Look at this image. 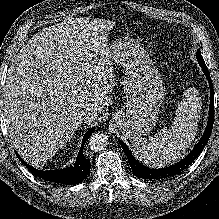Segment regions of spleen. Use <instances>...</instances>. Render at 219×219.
<instances>
[{
	"instance_id": "1",
	"label": "spleen",
	"mask_w": 219,
	"mask_h": 219,
	"mask_svg": "<svg viewBox=\"0 0 219 219\" xmlns=\"http://www.w3.org/2000/svg\"><path fill=\"white\" fill-rule=\"evenodd\" d=\"M201 106L196 90L188 89L178 104L172 126L162 128L153 137L132 141L134 156L149 167H164L179 160L196 135Z\"/></svg>"
}]
</instances>
